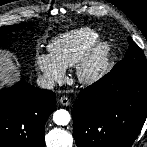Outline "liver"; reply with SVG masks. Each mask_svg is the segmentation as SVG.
<instances>
[{
  "instance_id": "6515ba94",
  "label": "liver",
  "mask_w": 147,
  "mask_h": 147,
  "mask_svg": "<svg viewBox=\"0 0 147 147\" xmlns=\"http://www.w3.org/2000/svg\"><path fill=\"white\" fill-rule=\"evenodd\" d=\"M20 72L8 53L0 51V88L18 80Z\"/></svg>"
}]
</instances>
